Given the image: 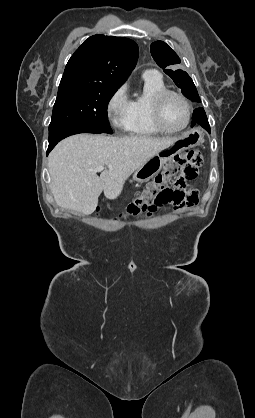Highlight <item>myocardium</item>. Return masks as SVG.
Segmentation results:
<instances>
[{"label":"myocardium","instance_id":"f54148a6","mask_svg":"<svg viewBox=\"0 0 255 418\" xmlns=\"http://www.w3.org/2000/svg\"><path fill=\"white\" fill-rule=\"evenodd\" d=\"M169 96H176L179 99L182 100V102L185 104L186 109H187V118L186 121L184 123L183 126H181L180 128H176V129H172L169 128L165 125L164 121H163V104L164 101L169 97ZM151 115H152V120L154 125L161 131V132H165V133H179L184 131L190 124L191 119H192V105L190 103V101L188 100V98L182 94L181 92H178L176 90H171V89H164L158 93H156L151 101Z\"/></svg>","mask_w":255,"mask_h":418}]
</instances>
